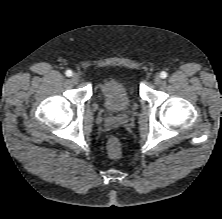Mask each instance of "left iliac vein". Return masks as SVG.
<instances>
[{
	"label": "left iliac vein",
	"mask_w": 222,
	"mask_h": 219,
	"mask_svg": "<svg viewBox=\"0 0 222 219\" xmlns=\"http://www.w3.org/2000/svg\"><path fill=\"white\" fill-rule=\"evenodd\" d=\"M153 81L156 85H159L162 82L161 76L160 75H155Z\"/></svg>",
	"instance_id": "left-iliac-vein-1"
}]
</instances>
